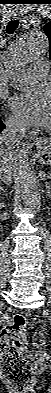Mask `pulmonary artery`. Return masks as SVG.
<instances>
[{
	"instance_id": "1",
	"label": "pulmonary artery",
	"mask_w": 51,
	"mask_h": 393,
	"mask_svg": "<svg viewBox=\"0 0 51 393\" xmlns=\"http://www.w3.org/2000/svg\"><path fill=\"white\" fill-rule=\"evenodd\" d=\"M48 69L46 62L36 61L29 72L17 76V81L22 84H34L45 77Z\"/></svg>"
}]
</instances>
